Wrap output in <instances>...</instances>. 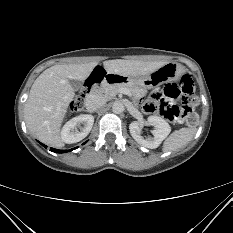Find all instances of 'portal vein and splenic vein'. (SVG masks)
Here are the masks:
<instances>
[{
    "label": "portal vein and splenic vein",
    "instance_id": "18ae733b",
    "mask_svg": "<svg viewBox=\"0 0 233 233\" xmlns=\"http://www.w3.org/2000/svg\"><path fill=\"white\" fill-rule=\"evenodd\" d=\"M122 92H123L124 94L128 95V96H131V93H130L129 91H127V90H123Z\"/></svg>",
    "mask_w": 233,
    "mask_h": 233
}]
</instances>
